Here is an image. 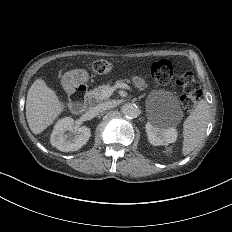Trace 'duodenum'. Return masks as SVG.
I'll use <instances>...</instances> for the list:
<instances>
[{
  "instance_id": "obj_1",
  "label": "duodenum",
  "mask_w": 232,
  "mask_h": 232,
  "mask_svg": "<svg viewBox=\"0 0 232 232\" xmlns=\"http://www.w3.org/2000/svg\"><path fill=\"white\" fill-rule=\"evenodd\" d=\"M64 86L70 95L72 111L77 114L81 113L86 105L87 86L79 78L68 79Z\"/></svg>"
}]
</instances>
